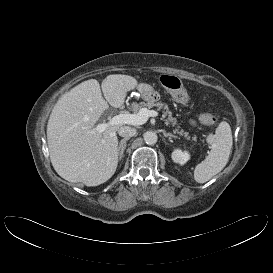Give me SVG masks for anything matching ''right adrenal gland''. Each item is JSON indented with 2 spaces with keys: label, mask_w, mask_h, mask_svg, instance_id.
Here are the masks:
<instances>
[{
  "label": "right adrenal gland",
  "mask_w": 273,
  "mask_h": 273,
  "mask_svg": "<svg viewBox=\"0 0 273 273\" xmlns=\"http://www.w3.org/2000/svg\"><path fill=\"white\" fill-rule=\"evenodd\" d=\"M128 140L129 138H124L119 142V145H118L119 160H121L124 156V151L126 149V142Z\"/></svg>",
  "instance_id": "1"
}]
</instances>
